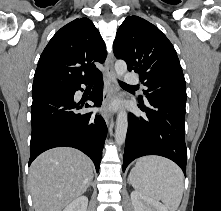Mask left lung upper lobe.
Instances as JSON below:
<instances>
[{"instance_id": "1", "label": "left lung upper lobe", "mask_w": 221, "mask_h": 211, "mask_svg": "<svg viewBox=\"0 0 221 211\" xmlns=\"http://www.w3.org/2000/svg\"><path fill=\"white\" fill-rule=\"evenodd\" d=\"M117 59H123L129 71L139 73L148 88L147 99L176 98L186 101V84L177 53L167 37L153 24L129 16L119 27L113 44ZM143 101L142 96L139 97Z\"/></svg>"}]
</instances>
